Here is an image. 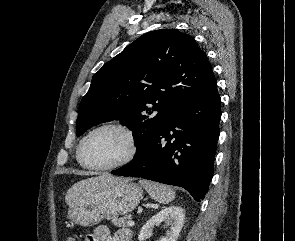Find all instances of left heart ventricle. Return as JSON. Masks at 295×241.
Instances as JSON below:
<instances>
[{
  "label": "left heart ventricle",
  "instance_id": "b2bd125f",
  "mask_svg": "<svg viewBox=\"0 0 295 241\" xmlns=\"http://www.w3.org/2000/svg\"><path fill=\"white\" fill-rule=\"evenodd\" d=\"M126 136L117 129L95 132L86 142L83 159L90 165L105 166L122 160L128 153Z\"/></svg>",
  "mask_w": 295,
  "mask_h": 241
}]
</instances>
